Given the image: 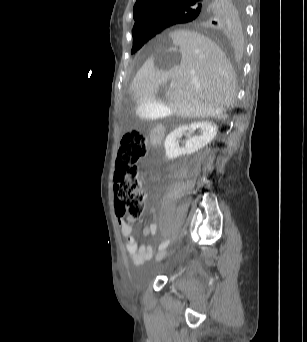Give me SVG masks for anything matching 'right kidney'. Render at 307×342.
<instances>
[{
  "label": "right kidney",
  "mask_w": 307,
  "mask_h": 342,
  "mask_svg": "<svg viewBox=\"0 0 307 342\" xmlns=\"http://www.w3.org/2000/svg\"><path fill=\"white\" fill-rule=\"evenodd\" d=\"M200 130V136H194V138H190L187 140L185 144V148H180L178 142H176L177 138H182L184 132L189 130V132H193V130ZM218 132V128L216 124L213 122H194V124H190V126H179L177 130H173L168 134L164 146L166 150V158L168 160H174V158H179V156H185V154H194L200 148H204L207 146L211 140H213L214 136H216Z\"/></svg>",
  "instance_id": "1"
}]
</instances>
